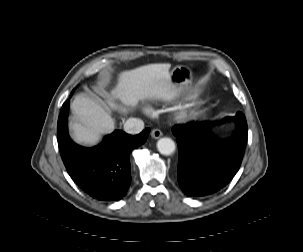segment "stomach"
Masks as SVG:
<instances>
[{
    "label": "stomach",
    "mask_w": 303,
    "mask_h": 252,
    "mask_svg": "<svg viewBox=\"0 0 303 252\" xmlns=\"http://www.w3.org/2000/svg\"><path fill=\"white\" fill-rule=\"evenodd\" d=\"M193 79V71L189 66L177 65L170 70L173 88L179 94L186 92Z\"/></svg>",
    "instance_id": "1"
}]
</instances>
